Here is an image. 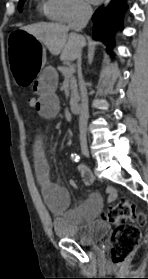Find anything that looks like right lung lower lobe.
<instances>
[{"label":"right lung lower lobe","instance_id":"right-lung-lower-lobe-1","mask_svg":"<svg viewBox=\"0 0 148 279\" xmlns=\"http://www.w3.org/2000/svg\"><path fill=\"white\" fill-rule=\"evenodd\" d=\"M126 0H111L106 8L96 10L93 21V37L102 40L109 48L114 44L113 33L116 26H120L123 13L126 10Z\"/></svg>","mask_w":148,"mask_h":279}]
</instances>
